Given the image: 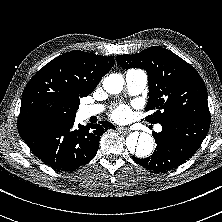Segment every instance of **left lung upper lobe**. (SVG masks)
<instances>
[{"instance_id":"obj_1","label":"left lung upper lobe","mask_w":222,"mask_h":222,"mask_svg":"<svg viewBox=\"0 0 222 222\" xmlns=\"http://www.w3.org/2000/svg\"><path fill=\"white\" fill-rule=\"evenodd\" d=\"M122 68H141L148 74L149 100L146 120L162 123L174 117L210 120L207 89L197 71L170 50L153 46L133 55H118Z\"/></svg>"}]
</instances>
